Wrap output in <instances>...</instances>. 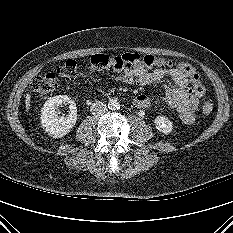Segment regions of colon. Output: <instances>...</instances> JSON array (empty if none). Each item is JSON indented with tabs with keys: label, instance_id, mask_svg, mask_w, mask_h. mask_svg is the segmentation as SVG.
I'll return each instance as SVG.
<instances>
[{
	"label": "colon",
	"instance_id": "1",
	"mask_svg": "<svg viewBox=\"0 0 233 233\" xmlns=\"http://www.w3.org/2000/svg\"><path fill=\"white\" fill-rule=\"evenodd\" d=\"M113 63H140L149 68L154 66H174L188 76L192 82V90L196 95L202 97L205 93V87L198 73L190 64L184 62L174 63L171 60L159 58L154 55H140L137 53H124L121 55H109L105 53L95 54L90 59L89 69H103L111 66ZM80 74L81 71L77 62L74 60H68L58 69L57 75L48 73L34 78L30 83V88L40 97L46 98L51 96L59 88V77L75 79ZM212 110L213 104L210 101H206L202 106L203 113L205 115H209L211 114Z\"/></svg>",
	"mask_w": 233,
	"mask_h": 233
}]
</instances>
